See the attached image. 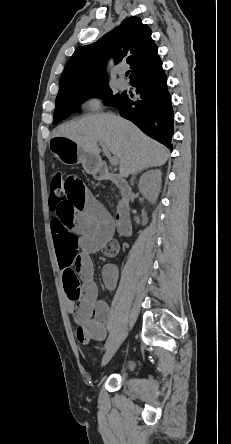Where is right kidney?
<instances>
[{"label": "right kidney", "instance_id": "1", "mask_svg": "<svg viewBox=\"0 0 231 444\" xmlns=\"http://www.w3.org/2000/svg\"><path fill=\"white\" fill-rule=\"evenodd\" d=\"M161 171L151 170L143 174L139 180L138 188L142 195L151 203H155L161 188ZM137 224L140 219L135 217ZM144 223V222H142Z\"/></svg>", "mask_w": 231, "mask_h": 444}]
</instances>
